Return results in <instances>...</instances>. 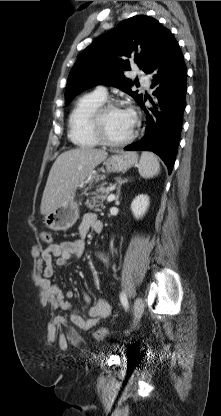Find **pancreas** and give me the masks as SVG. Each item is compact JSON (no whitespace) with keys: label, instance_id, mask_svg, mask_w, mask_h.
<instances>
[{"label":"pancreas","instance_id":"obj_1","mask_svg":"<svg viewBox=\"0 0 221 416\" xmlns=\"http://www.w3.org/2000/svg\"><path fill=\"white\" fill-rule=\"evenodd\" d=\"M90 200H87L86 205L90 209H95L96 211H99L100 208H104L103 202L108 197V192L105 191V188L103 185H100L96 192H94Z\"/></svg>","mask_w":221,"mask_h":416}]
</instances>
